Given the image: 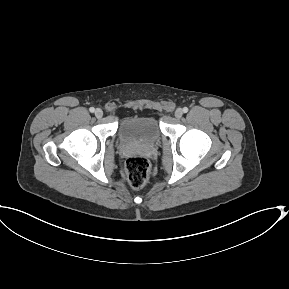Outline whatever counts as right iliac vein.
Here are the masks:
<instances>
[{
	"label": "right iliac vein",
	"mask_w": 289,
	"mask_h": 289,
	"mask_svg": "<svg viewBox=\"0 0 289 289\" xmlns=\"http://www.w3.org/2000/svg\"><path fill=\"white\" fill-rule=\"evenodd\" d=\"M95 116L101 118L103 116V111L100 108L96 109Z\"/></svg>",
	"instance_id": "63e3f726"
}]
</instances>
